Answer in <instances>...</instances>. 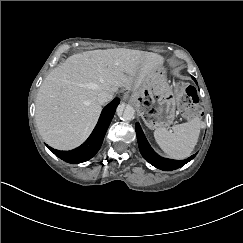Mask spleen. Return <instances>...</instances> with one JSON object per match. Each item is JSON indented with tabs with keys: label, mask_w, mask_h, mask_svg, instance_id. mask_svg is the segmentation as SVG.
<instances>
[{
	"label": "spleen",
	"mask_w": 243,
	"mask_h": 243,
	"mask_svg": "<svg viewBox=\"0 0 243 243\" xmlns=\"http://www.w3.org/2000/svg\"><path fill=\"white\" fill-rule=\"evenodd\" d=\"M200 133V119L193 117L187 122L172 126V130L158 127L154 137L162 150L170 157L184 159L193 151Z\"/></svg>",
	"instance_id": "1"
}]
</instances>
